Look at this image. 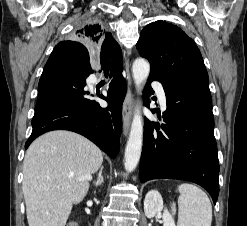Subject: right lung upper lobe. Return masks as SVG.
<instances>
[{
    "label": "right lung upper lobe",
    "mask_w": 247,
    "mask_h": 226,
    "mask_svg": "<svg viewBox=\"0 0 247 226\" xmlns=\"http://www.w3.org/2000/svg\"><path fill=\"white\" fill-rule=\"evenodd\" d=\"M73 37L87 45L101 47L100 56L108 68L123 67L121 49L102 23L93 22L82 26L74 33Z\"/></svg>",
    "instance_id": "cb5924a9"
}]
</instances>
